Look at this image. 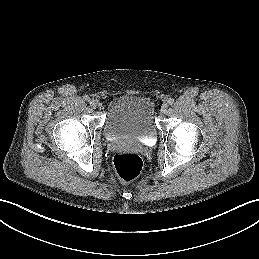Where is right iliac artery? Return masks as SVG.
<instances>
[{
	"instance_id": "82829eb1",
	"label": "right iliac artery",
	"mask_w": 259,
	"mask_h": 259,
	"mask_svg": "<svg viewBox=\"0 0 259 259\" xmlns=\"http://www.w3.org/2000/svg\"><path fill=\"white\" fill-rule=\"evenodd\" d=\"M83 99H84L85 101H90V97L87 96V95H85V96L83 97Z\"/></svg>"
}]
</instances>
